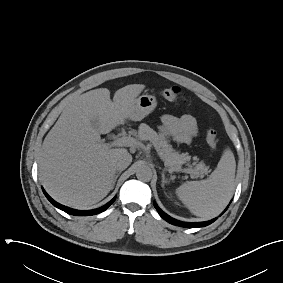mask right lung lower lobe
I'll list each match as a JSON object with an SVG mask.
<instances>
[{
    "label": "right lung lower lobe",
    "mask_w": 283,
    "mask_h": 283,
    "mask_svg": "<svg viewBox=\"0 0 283 283\" xmlns=\"http://www.w3.org/2000/svg\"><path fill=\"white\" fill-rule=\"evenodd\" d=\"M45 196L47 197V199L57 208L63 210L64 212L68 213V214H72V215H78V216H89V215H95L98 213L103 212L104 210H106L116 199V197H114L110 202H108L106 205L98 208V209H94V210H88V211H79V210H75V209H71L69 207L63 206L59 203H57L56 201H54L46 192L45 190H43Z\"/></svg>",
    "instance_id": "right-lung-lower-lobe-1"
}]
</instances>
